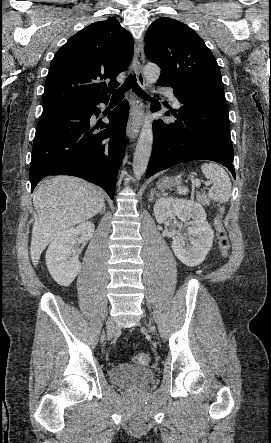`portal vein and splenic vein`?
<instances>
[{"label":"portal vein and splenic vein","instance_id":"obj_1","mask_svg":"<svg viewBox=\"0 0 271 443\" xmlns=\"http://www.w3.org/2000/svg\"><path fill=\"white\" fill-rule=\"evenodd\" d=\"M192 182H194L193 188L198 190L201 184L200 180H194V178H192ZM205 186H210V182H205Z\"/></svg>","mask_w":271,"mask_h":443}]
</instances>
